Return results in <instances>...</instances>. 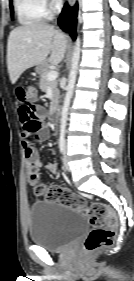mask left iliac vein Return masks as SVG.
<instances>
[{"instance_id":"obj_1","label":"left iliac vein","mask_w":134,"mask_h":281,"mask_svg":"<svg viewBox=\"0 0 134 281\" xmlns=\"http://www.w3.org/2000/svg\"><path fill=\"white\" fill-rule=\"evenodd\" d=\"M67 145L64 146V156H63V164L66 170H69L68 159H67Z\"/></svg>"}]
</instances>
